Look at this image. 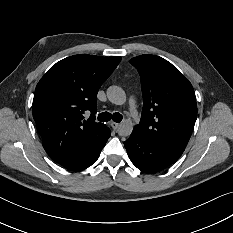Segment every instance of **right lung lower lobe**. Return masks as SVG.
<instances>
[{
	"instance_id": "98d812e1",
	"label": "right lung lower lobe",
	"mask_w": 233,
	"mask_h": 233,
	"mask_svg": "<svg viewBox=\"0 0 233 233\" xmlns=\"http://www.w3.org/2000/svg\"><path fill=\"white\" fill-rule=\"evenodd\" d=\"M110 134L111 131L109 129L105 137L98 144L90 148L87 152L83 153L82 155L74 159L58 164L69 170H74V171H79L88 168L99 158L100 152L105 146L108 138L110 137Z\"/></svg>"
}]
</instances>
